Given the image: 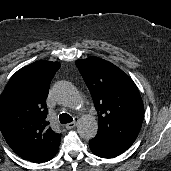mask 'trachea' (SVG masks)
Listing matches in <instances>:
<instances>
[{"instance_id": "trachea-1", "label": "trachea", "mask_w": 171, "mask_h": 171, "mask_svg": "<svg viewBox=\"0 0 171 171\" xmlns=\"http://www.w3.org/2000/svg\"><path fill=\"white\" fill-rule=\"evenodd\" d=\"M59 120L61 124H66L71 123L73 121V118L67 113H62L59 116Z\"/></svg>"}]
</instances>
